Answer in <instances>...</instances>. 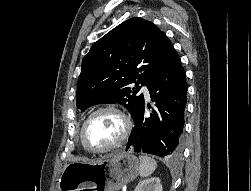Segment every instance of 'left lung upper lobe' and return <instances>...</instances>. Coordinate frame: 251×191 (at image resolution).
<instances>
[{
  "label": "left lung upper lobe",
  "instance_id": "left-lung-upper-lobe-1",
  "mask_svg": "<svg viewBox=\"0 0 251 191\" xmlns=\"http://www.w3.org/2000/svg\"><path fill=\"white\" fill-rule=\"evenodd\" d=\"M173 49L152 22L131 18L96 41L82 60L76 104L82 111L100 103L124 105L136 119L147 86ZM135 83V87L131 85Z\"/></svg>",
  "mask_w": 251,
  "mask_h": 191
}]
</instances>
